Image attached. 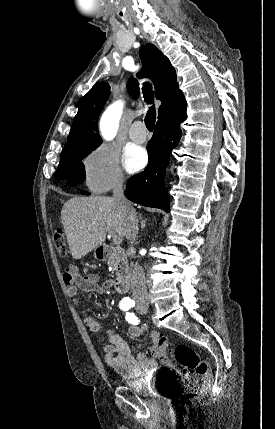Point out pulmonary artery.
Masks as SVG:
<instances>
[{
  "instance_id": "pulmonary-artery-1",
  "label": "pulmonary artery",
  "mask_w": 275,
  "mask_h": 429,
  "mask_svg": "<svg viewBox=\"0 0 275 429\" xmlns=\"http://www.w3.org/2000/svg\"><path fill=\"white\" fill-rule=\"evenodd\" d=\"M129 136L136 143H143L147 138L144 124L141 121H135L129 131Z\"/></svg>"
}]
</instances>
